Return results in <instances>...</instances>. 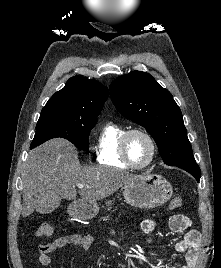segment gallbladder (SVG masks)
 <instances>
[{
    "label": "gallbladder",
    "instance_id": "1",
    "mask_svg": "<svg viewBox=\"0 0 221 268\" xmlns=\"http://www.w3.org/2000/svg\"><path fill=\"white\" fill-rule=\"evenodd\" d=\"M61 203L60 199H36V210L38 213L49 214L55 211L59 204Z\"/></svg>",
    "mask_w": 221,
    "mask_h": 268
}]
</instances>
